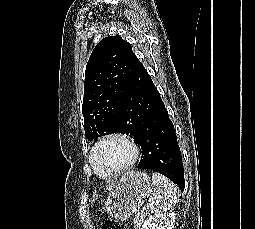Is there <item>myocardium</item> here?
I'll use <instances>...</instances> for the list:
<instances>
[{"mask_svg": "<svg viewBox=\"0 0 255 229\" xmlns=\"http://www.w3.org/2000/svg\"><path fill=\"white\" fill-rule=\"evenodd\" d=\"M111 139H119V140L124 141L126 144L129 145V147L132 150L131 160L126 165L119 167V168H115V169H110V168L102 165L101 162L97 159V152H98V149L100 148V146L103 143H105L106 141L111 140ZM138 157H139V148H138L136 142L130 136H128L125 133H121V132H111L106 135H103L94 143V145L92 146L91 151H90L91 162L100 166L110 177L119 175V174L124 173V172L128 171L129 169H131L137 162Z\"/></svg>", "mask_w": 255, "mask_h": 229, "instance_id": "f54148a6", "label": "myocardium"}]
</instances>
